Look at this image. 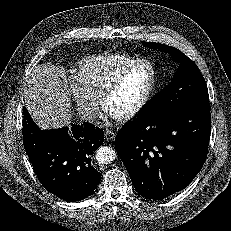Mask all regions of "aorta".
<instances>
[{"label":"aorta","mask_w":231,"mask_h":231,"mask_svg":"<svg viewBox=\"0 0 231 231\" xmlns=\"http://www.w3.org/2000/svg\"><path fill=\"white\" fill-rule=\"evenodd\" d=\"M116 151L112 147L103 146L96 151V160L102 164H109L116 158Z\"/></svg>","instance_id":"1"}]
</instances>
